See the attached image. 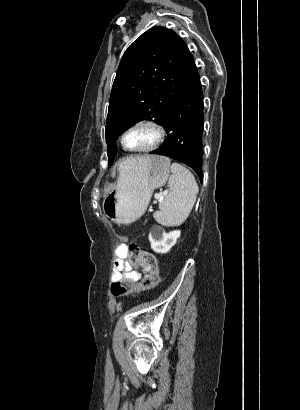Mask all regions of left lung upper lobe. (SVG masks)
<instances>
[{
  "mask_svg": "<svg viewBox=\"0 0 300 410\" xmlns=\"http://www.w3.org/2000/svg\"><path fill=\"white\" fill-rule=\"evenodd\" d=\"M195 65L185 42L172 30L154 27L125 51L112 86L106 124L108 166L116 139L141 120L162 123Z\"/></svg>",
  "mask_w": 300,
  "mask_h": 410,
  "instance_id": "obj_1",
  "label": "left lung upper lobe"
}]
</instances>
